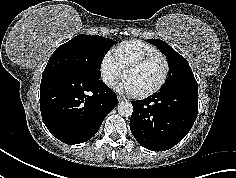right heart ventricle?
I'll list each match as a JSON object with an SVG mask.
<instances>
[{"instance_id": "e07e8e85", "label": "right heart ventricle", "mask_w": 236, "mask_h": 178, "mask_svg": "<svg viewBox=\"0 0 236 178\" xmlns=\"http://www.w3.org/2000/svg\"><path fill=\"white\" fill-rule=\"evenodd\" d=\"M112 54L123 69L132 61L142 59L150 55L161 54V52L140 40H128L118 44Z\"/></svg>"}]
</instances>
